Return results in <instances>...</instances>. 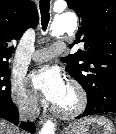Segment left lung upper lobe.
Returning a JSON list of instances; mask_svg holds the SVG:
<instances>
[{"instance_id":"5c2ea615","label":"left lung upper lobe","mask_w":116,"mask_h":134,"mask_svg":"<svg viewBox=\"0 0 116 134\" xmlns=\"http://www.w3.org/2000/svg\"><path fill=\"white\" fill-rule=\"evenodd\" d=\"M80 20L74 44L84 50L62 58L88 102L116 100V0H66Z\"/></svg>"}]
</instances>
